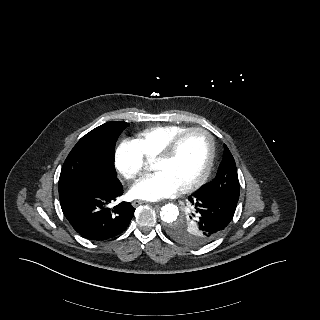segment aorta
Here are the masks:
<instances>
[{
	"mask_svg": "<svg viewBox=\"0 0 320 320\" xmlns=\"http://www.w3.org/2000/svg\"><path fill=\"white\" fill-rule=\"evenodd\" d=\"M179 216V209L174 204H166L161 208L160 217L165 223H172Z\"/></svg>",
	"mask_w": 320,
	"mask_h": 320,
	"instance_id": "aorta-1",
	"label": "aorta"
}]
</instances>
